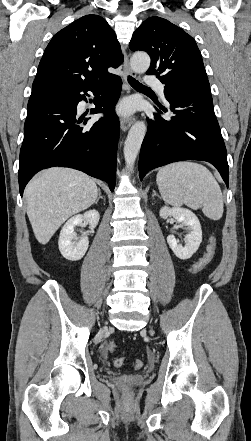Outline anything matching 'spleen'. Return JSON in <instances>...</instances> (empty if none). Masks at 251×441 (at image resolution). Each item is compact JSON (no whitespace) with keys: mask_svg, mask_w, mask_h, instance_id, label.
<instances>
[{"mask_svg":"<svg viewBox=\"0 0 251 441\" xmlns=\"http://www.w3.org/2000/svg\"><path fill=\"white\" fill-rule=\"evenodd\" d=\"M156 182L165 203L201 208L204 215L212 220L222 217V192L205 166L190 161L172 163L159 169Z\"/></svg>","mask_w":251,"mask_h":441,"instance_id":"1","label":"spleen"}]
</instances>
